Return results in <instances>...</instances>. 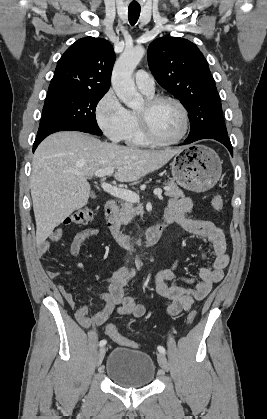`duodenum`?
Returning a JSON list of instances; mask_svg holds the SVG:
<instances>
[{
	"mask_svg": "<svg viewBox=\"0 0 267 419\" xmlns=\"http://www.w3.org/2000/svg\"><path fill=\"white\" fill-rule=\"evenodd\" d=\"M117 208L118 204L115 200H108L104 207V214L107 226L112 236L120 245L134 247L141 244H156L161 239L163 233L170 224L167 219L163 218L160 223L153 225L145 233L136 236H129L121 230L120 226L115 220Z\"/></svg>",
	"mask_w": 267,
	"mask_h": 419,
	"instance_id": "duodenum-1",
	"label": "duodenum"
}]
</instances>
